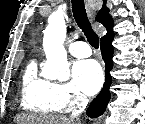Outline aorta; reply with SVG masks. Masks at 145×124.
I'll use <instances>...</instances> for the list:
<instances>
[{"label":"aorta","instance_id":"obj_1","mask_svg":"<svg viewBox=\"0 0 145 124\" xmlns=\"http://www.w3.org/2000/svg\"><path fill=\"white\" fill-rule=\"evenodd\" d=\"M65 38L66 23L64 16L51 15L43 37V47L47 60L42 69V75L47 80L64 82L70 78L67 53L63 46Z\"/></svg>","mask_w":145,"mask_h":124}]
</instances>
